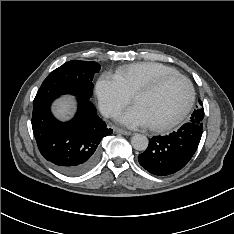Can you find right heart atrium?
<instances>
[{
    "instance_id": "1",
    "label": "right heart atrium",
    "mask_w": 234,
    "mask_h": 234,
    "mask_svg": "<svg viewBox=\"0 0 234 234\" xmlns=\"http://www.w3.org/2000/svg\"><path fill=\"white\" fill-rule=\"evenodd\" d=\"M95 91L100 109L107 116L116 115L131 101V95L119 78L108 72L98 78Z\"/></svg>"
}]
</instances>
